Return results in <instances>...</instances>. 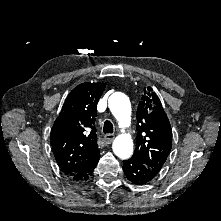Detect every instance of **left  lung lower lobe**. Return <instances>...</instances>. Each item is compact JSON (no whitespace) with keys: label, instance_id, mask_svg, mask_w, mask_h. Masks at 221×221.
<instances>
[{"label":"left lung lower lobe","instance_id":"obj_1","mask_svg":"<svg viewBox=\"0 0 221 221\" xmlns=\"http://www.w3.org/2000/svg\"><path fill=\"white\" fill-rule=\"evenodd\" d=\"M123 170L128 180L139 185L146 184L157 176L155 172L132 157L123 161Z\"/></svg>","mask_w":221,"mask_h":221}]
</instances>
